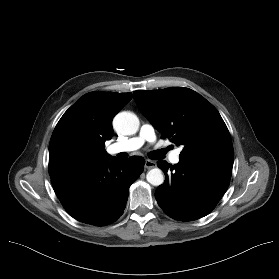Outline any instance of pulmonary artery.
Masks as SVG:
<instances>
[{"label":"pulmonary artery","mask_w":279,"mask_h":279,"mask_svg":"<svg viewBox=\"0 0 279 279\" xmlns=\"http://www.w3.org/2000/svg\"><path fill=\"white\" fill-rule=\"evenodd\" d=\"M156 139L154 127L149 124H143L137 136L114 143L109 146L108 152L116 154L120 152H131L141 148L145 142H154ZM181 149L172 151L169 155V160L173 164H177L180 160Z\"/></svg>","instance_id":"pulmonary-artery-1"}]
</instances>
